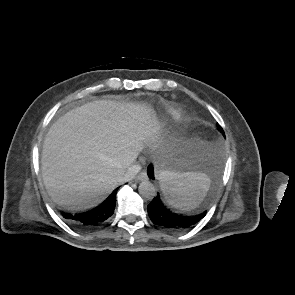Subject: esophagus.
<instances>
[{
    "label": "esophagus",
    "instance_id": "1",
    "mask_svg": "<svg viewBox=\"0 0 295 295\" xmlns=\"http://www.w3.org/2000/svg\"><path fill=\"white\" fill-rule=\"evenodd\" d=\"M148 179V175L145 171L140 172L137 176H136V180L138 181H142V180H146Z\"/></svg>",
    "mask_w": 295,
    "mask_h": 295
}]
</instances>
